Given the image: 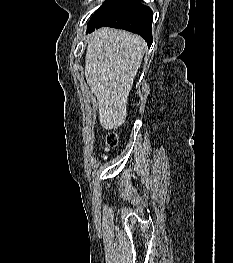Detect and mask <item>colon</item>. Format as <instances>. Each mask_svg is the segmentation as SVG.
Returning <instances> with one entry per match:
<instances>
[{
  "label": "colon",
  "mask_w": 233,
  "mask_h": 263,
  "mask_svg": "<svg viewBox=\"0 0 233 263\" xmlns=\"http://www.w3.org/2000/svg\"><path fill=\"white\" fill-rule=\"evenodd\" d=\"M119 143V137L115 133H109L106 137V143H105V153H108L110 150L116 148Z\"/></svg>",
  "instance_id": "1"
}]
</instances>
